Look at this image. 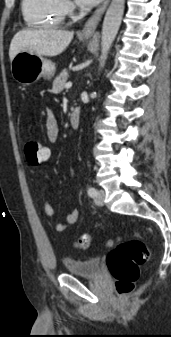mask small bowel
Wrapping results in <instances>:
<instances>
[{"label":"small bowel","instance_id":"c3829d8e","mask_svg":"<svg viewBox=\"0 0 171 337\" xmlns=\"http://www.w3.org/2000/svg\"><path fill=\"white\" fill-rule=\"evenodd\" d=\"M45 133L46 137L50 142H56L59 137V126L56 120V117L52 110H47L45 117ZM70 175L72 178L75 176V168H70ZM44 211L48 217H53L55 212L51 204L47 199L44 201ZM79 210L77 208H73L70 210L68 215L66 216L65 222H57L55 224V228L58 232H64L69 225L74 224L79 218Z\"/></svg>","mask_w":171,"mask_h":337}]
</instances>
